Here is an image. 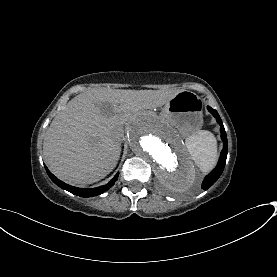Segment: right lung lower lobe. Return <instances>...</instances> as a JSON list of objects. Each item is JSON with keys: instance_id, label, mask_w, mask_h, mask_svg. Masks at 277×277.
Listing matches in <instances>:
<instances>
[{"instance_id": "1", "label": "right lung lower lobe", "mask_w": 277, "mask_h": 277, "mask_svg": "<svg viewBox=\"0 0 277 277\" xmlns=\"http://www.w3.org/2000/svg\"><path fill=\"white\" fill-rule=\"evenodd\" d=\"M45 169L47 171V174L51 178V180L56 185H58L62 189H65V190L71 192L72 194L78 195L80 197H92V196H97L99 194H102L103 192L107 191L110 187H112L114 185V183L116 182V180L118 178V175H119V173H117L114 176V178L104 186H100V187L92 188V189H82V188H77V187L70 186V185L60 181L47 169L46 166H45Z\"/></svg>"}]
</instances>
